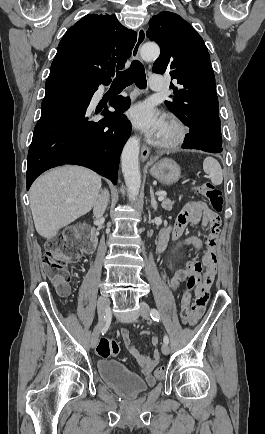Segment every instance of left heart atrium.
Wrapping results in <instances>:
<instances>
[{
    "instance_id": "39dd6f15",
    "label": "left heart atrium",
    "mask_w": 265,
    "mask_h": 434,
    "mask_svg": "<svg viewBox=\"0 0 265 434\" xmlns=\"http://www.w3.org/2000/svg\"><path fill=\"white\" fill-rule=\"evenodd\" d=\"M127 116L135 127L151 135L161 138L165 125L159 116V112L148 102H139L127 111Z\"/></svg>"
}]
</instances>
